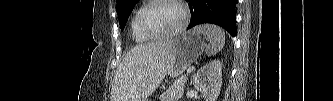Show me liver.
<instances>
[{
	"instance_id": "6515ba94",
	"label": "liver",
	"mask_w": 333,
	"mask_h": 101,
	"mask_svg": "<svg viewBox=\"0 0 333 101\" xmlns=\"http://www.w3.org/2000/svg\"><path fill=\"white\" fill-rule=\"evenodd\" d=\"M173 40L140 44L118 66L111 101H145L164 79L171 59Z\"/></svg>"
}]
</instances>
